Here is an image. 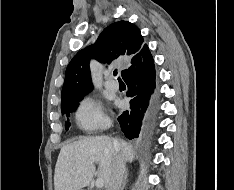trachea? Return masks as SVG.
<instances>
[{
  "label": "trachea",
  "instance_id": "trachea-1",
  "mask_svg": "<svg viewBox=\"0 0 234 190\" xmlns=\"http://www.w3.org/2000/svg\"><path fill=\"white\" fill-rule=\"evenodd\" d=\"M117 74H118V71H117V69H115V70L113 71V75H114V76H117ZM118 80H121V79L118 77Z\"/></svg>",
  "mask_w": 234,
  "mask_h": 190
}]
</instances>
